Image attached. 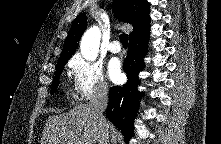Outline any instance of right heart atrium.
I'll list each match as a JSON object with an SVG mask.
<instances>
[{"label":"right heart atrium","mask_w":221,"mask_h":144,"mask_svg":"<svg viewBox=\"0 0 221 144\" xmlns=\"http://www.w3.org/2000/svg\"><path fill=\"white\" fill-rule=\"evenodd\" d=\"M79 100H90L107 94L108 84L99 63L75 56L69 63Z\"/></svg>","instance_id":"obj_1"}]
</instances>
